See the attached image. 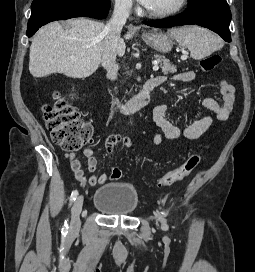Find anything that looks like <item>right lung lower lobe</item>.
Returning a JSON list of instances; mask_svg holds the SVG:
<instances>
[{
    "instance_id": "obj_1",
    "label": "right lung lower lobe",
    "mask_w": 255,
    "mask_h": 272,
    "mask_svg": "<svg viewBox=\"0 0 255 272\" xmlns=\"http://www.w3.org/2000/svg\"><path fill=\"white\" fill-rule=\"evenodd\" d=\"M110 8V0H33L27 36L31 37L43 25L73 17L103 19Z\"/></svg>"
}]
</instances>
